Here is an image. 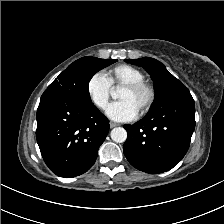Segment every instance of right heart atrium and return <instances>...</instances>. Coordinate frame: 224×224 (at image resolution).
<instances>
[{
	"label": "right heart atrium",
	"mask_w": 224,
	"mask_h": 224,
	"mask_svg": "<svg viewBox=\"0 0 224 224\" xmlns=\"http://www.w3.org/2000/svg\"><path fill=\"white\" fill-rule=\"evenodd\" d=\"M87 94L92 103L100 110H104L111 95V85L105 74L97 72L87 82Z\"/></svg>",
	"instance_id": "obj_1"
}]
</instances>
